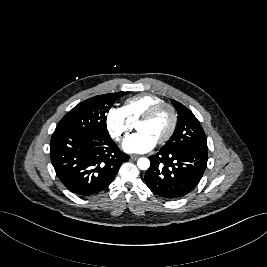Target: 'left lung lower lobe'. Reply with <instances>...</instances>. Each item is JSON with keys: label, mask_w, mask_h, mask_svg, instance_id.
<instances>
[{"label": "left lung lower lobe", "mask_w": 267, "mask_h": 267, "mask_svg": "<svg viewBox=\"0 0 267 267\" xmlns=\"http://www.w3.org/2000/svg\"><path fill=\"white\" fill-rule=\"evenodd\" d=\"M207 160V150L199 148L160 149L150 156L145 182L151 191L163 198H181L198 185Z\"/></svg>", "instance_id": "obj_1"}]
</instances>
